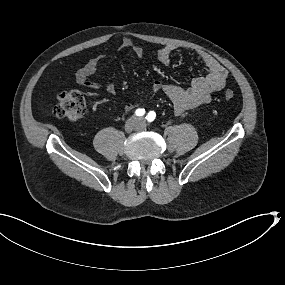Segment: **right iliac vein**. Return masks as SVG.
<instances>
[{"label":"right iliac vein","mask_w":285,"mask_h":285,"mask_svg":"<svg viewBox=\"0 0 285 285\" xmlns=\"http://www.w3.org/2000/svg\"><path fill=\"white\" fill-rule=\"evenodd\" d=\"M133 128H134V123L128 121V122L126 123V125H125V129H126L127 131H132Z\"/></svg>","instance_id":"63e3f726"}]
</instances>
